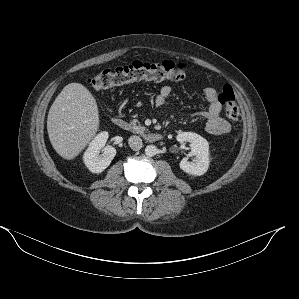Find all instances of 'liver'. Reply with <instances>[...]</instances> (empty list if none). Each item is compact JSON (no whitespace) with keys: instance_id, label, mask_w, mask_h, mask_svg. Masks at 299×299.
Wrapping results in <instances>:
<instances>
[{"instance_id":"1","label":"liver","mask_w":299,"mask_h":299,"mask_svg":"<svg viewBox=\"0 0 299 299\" xmlns=\"http://www.w3.org/2000/svg\"><path fill=\"white\" fill-rule=\"evenodd\" d=\"M99 128L97 103L80 83L66 85L50 107L47 131L54 150L64 159H74Z\"/></svg>"}]
</instances>
